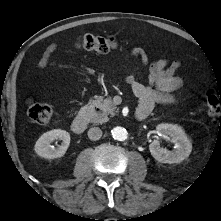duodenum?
Here are the masks:
<instances>
[{"label":"duodenum","instance_id":"duodenum-1","mask_svg":"<svg viewBox=\"0 0 221 221\" xmlns=\"http://www.w3.org/2000/svg\"><path fill=\"white\" fill-rule=\"evenodd\" d=\"M146 114L142 111H137L135 118L137 121H143L146 118ZM88 109L83 107L72 123V130L76 134H82L87 128Z\"/></svg>","mask_w":221,"mask_h":221}]
</instances>
